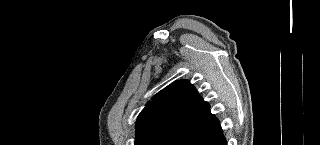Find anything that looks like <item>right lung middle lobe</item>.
Wrapping results in <instances>:
<instances>
[{
	"label": "right lung middle lobe",
	"mask_w": 320,
	"mask_h": 145,
	"mask_svg": "<svg viewBox=\"0 0 320 145\" xmlns=\"http://www.w3.org/2000/svg\"><path fill=\"white\" fill-rule=\"evenodd\" d=\"M175 136V134H159L144 140L138 145H167L170 140Z\"/></svg>",
	"instance_id": "dd1d6c3e"
}]
</instances>
